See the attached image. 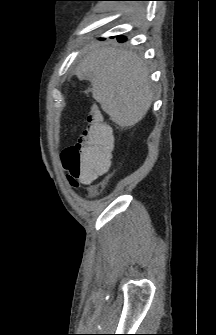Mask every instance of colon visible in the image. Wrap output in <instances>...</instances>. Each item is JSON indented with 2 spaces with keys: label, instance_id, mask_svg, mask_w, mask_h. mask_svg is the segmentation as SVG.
<instances>
[{
  "label": "colon",
  "instance_id": "obj_1",
  "mask_svg": "<svg viewBox=\"0 0 216 335\" xmlns=\"http://www.w3.org/2000/svg\"><path fill=\"white\" fill-rule=\"evenodd\" d=\"M111 127L98 110L92 111L81 139L62 152L63 166L71 184L74 178H101L114 164Z\"/></svg>",
  "mask_w": 216,
  "mask_h": 335
}]
</instances>
